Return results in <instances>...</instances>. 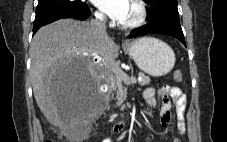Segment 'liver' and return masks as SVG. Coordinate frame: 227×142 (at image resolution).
<instances>
[{
    "instance_id": "1",
    "label": "liver",
    "mask_w": 227,
    "mask_h": 142,
    "mask_svg": "<svg viewBox=\"0 0 227 142\" xmlns=\"http://www.w3.org/2000/svg\"><path fill=\"white\" fill-rule=\"evenodd\" d=\"M30 56L35 100L47 120L67 132L81 117V100L109 76L118 46L108 35L96 36L88 22L61 19L37 31ZM67 61H84V78H73L80 88H59L60 78H52Z\"/></svg>"
}]
</instances>
